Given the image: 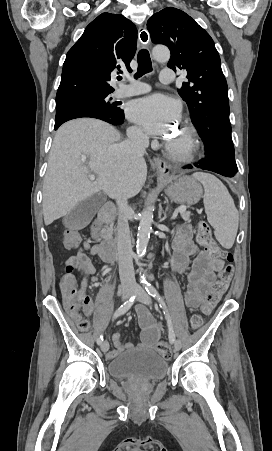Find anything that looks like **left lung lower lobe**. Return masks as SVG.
Here are the masks:
<instances>
[{
	"instance_id": "0a47b994",
	"label": "left lung lower lobe",
	"mask_w": 272,
	"mask_h": 451,
	"mask_svg": "<svg viewBox=\"0 0 272 451\" xmlns=\"http://www.w3.org/2000/svg\"><path fill=\"white\" fill-rule=\"evenodd\" d=\"M199 167L201 169L210 170L227 177H234L237 174V171L230 168L223 162L210 158L203 160L200 163Z\"/></svg>"
}]
</instances>
